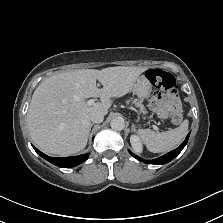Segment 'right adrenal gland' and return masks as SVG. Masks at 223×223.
I'll list each match as a JSON object with an SVG mask.
<instances>
[{"label": "right adrenal gland", "instance_id": "right-adrenal-gland-1", "mask_svg": "<svg viewBox=\"0 0 223 223\" xmlns=\"http://www.w3.org/2000/svg\"><path fill=\"white\" fill-rule=\"evenodd\" d=\"M95 125V123H91L90 124V129H89V133L91 132L92 127Z\"/></svg>", "mask_w": 223, "mask_h": 223}]
</instances>
